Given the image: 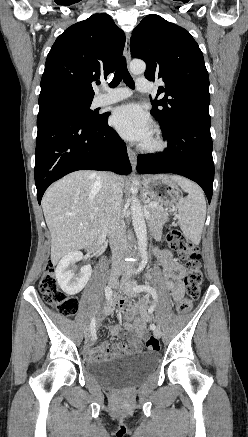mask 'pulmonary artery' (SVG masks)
<instances>
[{
	"mask_svg": "<svg viewBox=\"0 0 248 437\" xmlns=\"http://www.w3.org/2000/svg\"><path fill=\"white\" fill-rule=\"evenodd\" d=\"M151 88H152V84L148 79L144 77H140L136 80L137 91L149 92ZM131 94L132 92L128 88H118L114 90H108L106 91L105 94L98 97L97 104L107 105V104L115 103L128 98Z\"/></svg>",
	"mask_w": 248,
	"mask_h": 437,
	"instance_id": "e3ab8cb5",
	"label": "pulmonary artery"
}]
</instances>
